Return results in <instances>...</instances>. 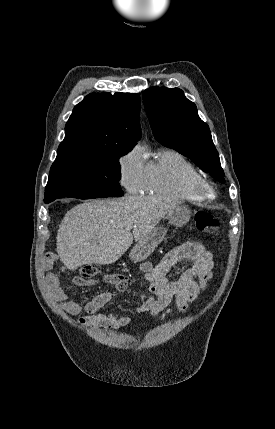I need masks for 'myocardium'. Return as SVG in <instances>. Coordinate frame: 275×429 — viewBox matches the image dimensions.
<instances>
[{
	"mask_svg": "<svg viewBox=\"0 0 275 429\" xmlns=\"http://www.w3.org/2000/svg\"><path fill=\"white\" fill-rule=\"evenodd\" d=\"M194 190L202 200H212L216 197V188L212 182L203 176L194 183Z\"/></svg>",
	"mask_w": 275,
	"mask_h": 429,
	"instance_id": "obj_1",
	"label": "myocardium"
}]
</instances>
